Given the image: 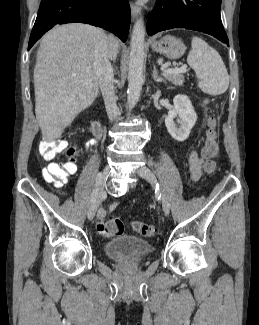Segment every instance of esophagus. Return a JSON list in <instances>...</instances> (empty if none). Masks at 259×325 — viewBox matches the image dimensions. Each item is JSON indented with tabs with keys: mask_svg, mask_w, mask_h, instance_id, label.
Wrapping results in <instances>:
<instances>
[{
	"mask_svg": "<svg viewBox=\"0 0 259 325\" xmlns=\"http://www.w3.org/2000/svg\"><path fill=\"white\" fill-rule=\"evenodd\" d=\"M130 7L132 19L135 20L140 14V8L133 3H131Z\"/></svg>",
	"mask_w": 259,
	"mask_h": 325,
	"instance_id": "34e87169",
	"label": "esophagus"
}]
</instances>
